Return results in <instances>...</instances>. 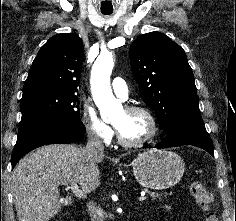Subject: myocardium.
I'll list each match as a JSON object with an SVG mask.
<instances>
[{"label":"myocardium","instance_id":"obj_1","mask_svg":"<svg viewBox=\"0 0 236 221\" xmlns=\"http://www.w3.org/2000/svg\"><path fill=\"white\" fill-rule=\"evenodd\" d=\"M125 110L127 112H131V113L144 114L150 122L151 130H150L149 134L143 139H140L137 141H128V140H125L121 136L117 127L114 126L119 144H121L124 147L133 148V147L144 146V145L150 143L151 141H153L159 132V123H158V120H157L156 116L154 115V113L149 108H147L145 106H141V105H129V106L125 107Z\"/></svg>","mask_w":236,"mask_h":221}]
</instances>
